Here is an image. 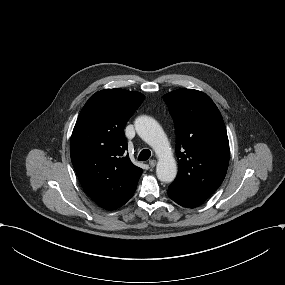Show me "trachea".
Listing matches in <instances>:
<instances>
[{"mask_svg":"<svg viewBox=\"0 0 285 285\" xmlns=\"http://www.w3.org/2000/svg\"><path fill=\"white\" fill-rule=\"evenodd\" d=\"M150 155H151L150 150L144 149L140 152L138 160L139 161H146L150 157Z\"/></svg>","mask_w":285,"mask_h":285,"instance_id":"3493384b","label":"trachea"}]
</instances>
